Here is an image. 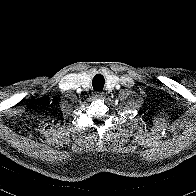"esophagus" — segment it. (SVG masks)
Returning a JSON list of instances; mask_svg holds the SVG:
<instances>
[{
    "instance_id": "34e87169",
    "label": "esophagus",
    "mask_w": 196,
    "mask_h": 196,
    "mask_svg": "<svg viewBox=\"0 0 196 196\" xmlns=\"http://www.w3.org/2000/svg\"><path fill=\"white\" fill-rule=\"evenodd\" d=\"M103 97H104L103 92H95V94H94L95 99H102Z\"/></svg>"
}]
</instances>
